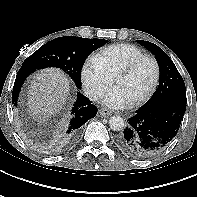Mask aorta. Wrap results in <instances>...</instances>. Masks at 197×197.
Returning a JSON list of instances; mask_svg holds the SVG:
<instances>
[{"label": "aorta", "instance_id": "1", "mask_svg": "<svg viewBox=\"0 0 197 197\" xmlns=\"http://www.w3.org/2000/svg\"><path fill=\"white\" fill-rule=\"evenodd\" d=\"M109 126L113 131H121L124 129L125 123L122 117L113 116L109 120Z\"/></svg>", "mask_w": 197, "mask_h": 197}]
</instances>
